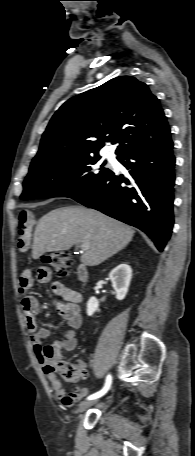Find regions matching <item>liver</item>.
I'll return each instance as SVG.
<instances>
[{
    "label": "liver",
    "mask_w": 195,
    "mask_h": 456,
    "mask_svg": "<svg viewBox=\"0 0 195 456\" xmlns=\"http://www.w3.org/2000/svg\"><path fill=\"white\" fill-rule=\"evenodd\" d=\"M135 231L99 211L84 207H64L50 211L38 222L32 257L46 252L69 250L75 244L86 246L81 262L97 266L126 247Z\"/></svg>",
    "instance_id": "obj_1"
}]
</instances>
